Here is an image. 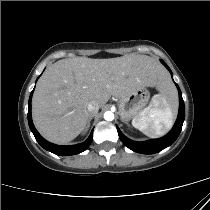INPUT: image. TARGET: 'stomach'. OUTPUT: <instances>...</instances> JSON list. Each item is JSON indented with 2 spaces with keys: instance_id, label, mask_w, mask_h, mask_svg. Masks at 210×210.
Returning a JSON list of instances; mask_svg holds the SVG:
<instances>
[{
  "instance_id": "1",
  "label": "stomach",
  "mask_w": 210,
  "mask_h": 210,
  "mask_svg": "<svg viewBox=\"0 0 210 210\" xmlns=\"http://www.w3.org/2000/svg\"><path fill=\"white\" fill-rule=\"evenodd\" d=\"M150 98L146 87L139 89L119 100V114L123 121H129L139 116Z\"/></svg>"
}]
</instances>
